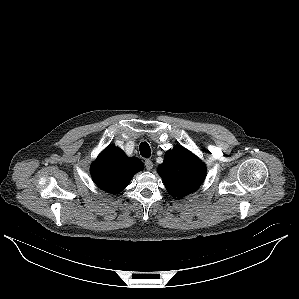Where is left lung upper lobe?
<instances>
[{
	"instance_id": "5c2ea615",
	"label": "left lung upper lobe",
	"mask_w": 299,
	"mask_h": 299,
	"mask_svg": "<svg viewBox=\"0 0 299 299\" xmlns=\"http://www.w3.org/2000/svg\"><path fill=\"white\" fill-rule=\"evenodd\" d=\"M158 173L168 192L182 198L199 188L205 179L206 167L197 156L178 146L166 152Z\"/></svg>"
}]
</instances>
